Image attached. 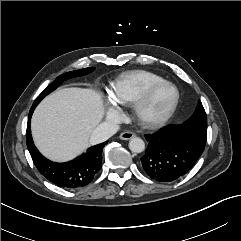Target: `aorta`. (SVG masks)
I'll list each match as a JSON object with an SVG mask.
<instances>
[{
  "label": "aorta",
  "mask_w": 241,
  "mask_h": 241,
  "mask_svg": "<svg viewBox=\"0 0 241 241\" xmlns=\"http://www.w3.org/2000/svg\"><path fill=\"white\" fill-rule=\"evenodd\" d=\"M129 149L135 153H141L145 149L144 141L139 137H134L129 141Z\"/></svg>",
  "instance_id": "762f6f07"
}]
</instances>
